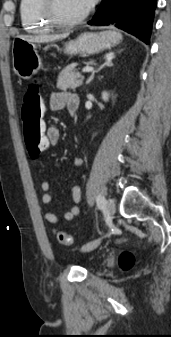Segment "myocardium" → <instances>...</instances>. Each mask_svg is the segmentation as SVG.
<instances>
[{
  "mask_svg": "<svg viewBox=\"0 0 171 337\" xmlns=\"http://www.w3.org/2000/svg\"><path fill=\"white\" fill-rule=\"evenodd\" d=\"M44 17L52 24L58 27H70L81 23L90 13V9H86L80 15L74 18H63L56 9V0H41Z\"/></svg>",
  "mask_w": 171,
  "mask_h": 337,
  "instance_id": "f54148a6",
  "label": "myocardium"
}]
</instances>
